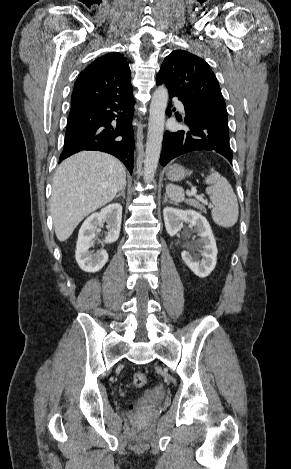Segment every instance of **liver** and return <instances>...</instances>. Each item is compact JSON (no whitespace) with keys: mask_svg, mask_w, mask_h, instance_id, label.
<instances>
[{"mask_svg":"<svg viewBox=\"0 0 291 469\" xmlns=\"http://www.w3.org/2000/svg\"><path fill=\"white\" fill-rule=\"evenodd\" d=\"M126 184L124 165L115 157L83 151L56 170L50 201L55 234L67 240L90 213L111 202Z\"/></svg>","mask_w":291,"mask_h":469,"instance_id":"liver-1","label":"liver"}]
</instances>
